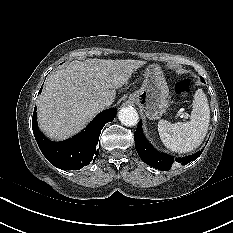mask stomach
I'll return each mask as SVG.
<instances>
[{"label":"stomach","mask_w":233,"mask_h":233,"mask_svg":"<svg viewBox=\"0 0 233 233\" xmlns=\"http://www.w3.org/2000/svg\"><path fill=\"white\" fill-rule=\"evenodd\" d=\"M169 88L159 65H149L142 87L130 94L129 101L137 104L150 120L162 117L168 108Z\"/></svg>","instance_id":"obj_1"}]
</instances>
